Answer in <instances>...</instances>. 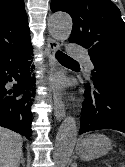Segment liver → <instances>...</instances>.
Listing matches in <instances>:
<instances>
[{
  "label": "liver",
  "mask_w": 125,
  "mask_h": 167,
  "mask_svg": "<svg viewBox=\"0 0 125 167\" xmlns=\"http://www.w3.org/2000/svg\"><path fill=\"white\" fill-rule=\"evenodd\" d=\"M22 136L0 127V167H17L22 154Z\"/></svg>",
  "instance_id": "6515ba94"
}]
</instances>
